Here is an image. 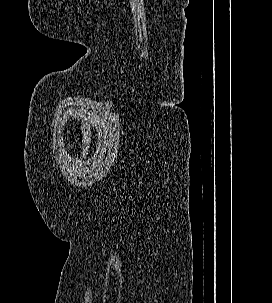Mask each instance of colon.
Wrapping results in <instances>:
<instances>
[{
    "label": "colon",
    "mask_w": 272,
    "mask_h": 303,
    "mask_svg": "<svg viewBox=\"0 0 272 303\" xmlns=\"http://www.w3.org/2000/svg\"><path fill=\"white\" fill-rule=\"evenodd\" d=\"M90 142H91V131L90 127L87 123H84L83 125V152H82V157L84 158L89 150L90 147Z\"/></svg>",
    "instance_id": "colon-1"
}]
</instances>
